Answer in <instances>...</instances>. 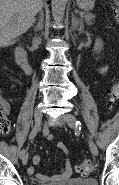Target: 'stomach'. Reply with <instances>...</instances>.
<instances>
[{
    "mask_svg": "<svg viewBox=\"0 0 119 185\" xmlns=\"http://www.w3.org/2000/svg\"><path fill=\"white\" fill-rule=\"evenodd\" d=\"M77 5L82 10H90L94 7L95 0H76Z\"/></svg>",
    "mask_w": 119,
    "mask_h": 185,
    "instance_id": "0dacf381",
    "label": "stomach"
}]
</instances>
